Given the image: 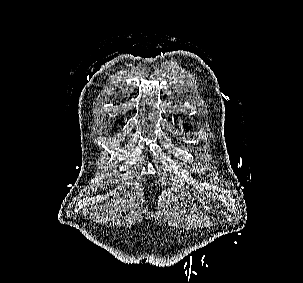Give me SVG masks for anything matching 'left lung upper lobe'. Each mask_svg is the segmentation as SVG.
<instances>
[{
    "label": "left lung upper lobe",
    "instance_id": "1",
    "mask_svg": "<svg viewBox=\"0 0 303 283\" xmlns=\"http://www.w3.org/2000/svg\"><path fill=\"white\" fill-rule=\"evenodd\" d=\"M187 126H188V124H185V125H184V128L190 129V128H188Z\"/></svg>",
    "mask_w": 303,
    "mask_h": 283
}]
</instances>
